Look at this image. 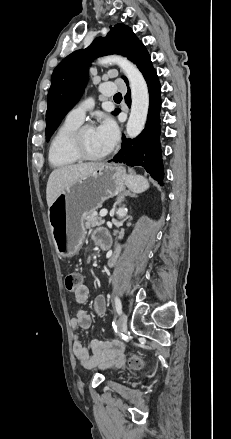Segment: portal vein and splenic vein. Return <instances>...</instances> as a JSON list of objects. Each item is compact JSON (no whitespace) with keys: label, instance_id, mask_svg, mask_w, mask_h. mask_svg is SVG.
Here are the masks:
<instances>
[{"label":"portal vein and splenic vein","instance_id":"18ae733b","mask_svg":"<svg viewBox=\"0 0 231 439\" xmlns=\"http://www.w3.org/2000/svg\"><path fill=\"white\" fill-rule=\"evenodd\" d=\"M107 215V210L106 209H102L101 211H100V216L101 217H104V216H106Z\"/></svg>","mask_w":231,"mask_h":439}]
</instances>
